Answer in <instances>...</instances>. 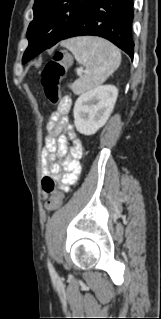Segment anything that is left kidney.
Returning a JSON list of instances; mask_svg holds the SVG:
<instances>
[{
    "label": "left kidney",
    "instance_id": "1",
    "mask_svg": "<svg viewBox=\"0 0 161 319\" xmlns=\"http://www.w3.org/2000/svg\"><path fill=\"white\" fill-rule=\"evenodd\" d=\"M118 90L113 85L98 86L82 94L74 105V125L84 135L95 134L113 111Z\"/></svg>",
    "mask_w": 161,
    "mask_h": 319
}]
</instances>
